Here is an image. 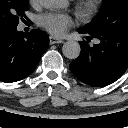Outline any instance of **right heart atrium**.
<instances>
[{
    "instance_id": "right-heart-atrium-1",
    "label": "right heart atrium",
    "mask_w": 128,
    "mask_h": 128,
    "mask_svg": "<svg viewBox=\"0 0 128 128\" xmlns=\"http://www.w3.org/2000/svg\"><path fill=\"white\" fill-rule=\"evenodd\" d=\"M38 0H29L31 4H35Z\"/></svg>"
}]
</instances>
